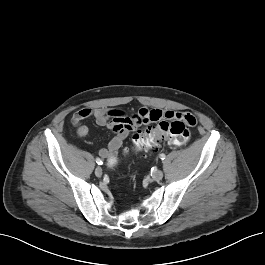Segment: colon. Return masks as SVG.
Wrapping results in <instances>:
<instances>
[{
	"mask_svg": "<svg viewBox=\"0 0 265 265\" xmlns=\"http://www.w3.org/2000/svg\"><path fill=\"white\" fill-rule=\"evenodd\" d=\"M147 129L136 132L133 137V145L137 150H151L158 148L161 142H169L178 146L185 145L191 137L190 127L196 124V119L191 116L186 121L167 117L163 112L153 110L149 112ZM111 166L117 164L115 157L109 161Z\"/></svg>",
	"mask_w": 265,
	"mask_h": 265,
	"instance_id": "5ec220e1",
	"label": "colon"
}]
</instances>
